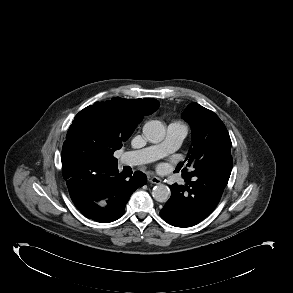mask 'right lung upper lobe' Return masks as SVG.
Segmentation results:
<instances>
[{
    "label": "right lung upper lobe",
    "instance_id": "right-lung-upper-lobe-1",
    "mask_svg": "<svg viewBox=\"0 0 293 293\" xmlns=\"http://www.w3.org/2000/svg\"><path fill=\"white\" fill-rule=\"evenodd\" d=\"M159 101L152 98H112L106 102H95L80 111L70 126L62 149L63 177L68 182L79 176L93 164H86L83 157L96 149L117 150L122 147L141 122L159 108ZM102 165H117L107 155Z\"/></svg>",
    "mask_w": 293,
    "mask_h": 293
}]
</instances>
